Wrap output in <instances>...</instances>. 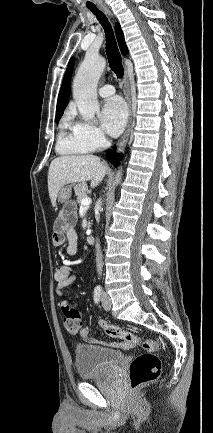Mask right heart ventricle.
Returning a JSON list of instances; mask_svg holds the SVG:
<instances>
[{"label": "right heart ventricle", "instance_id": "1", "mask_svg": "<svg viewBox=\"0 0 213 433\" xmlns=\"http://www.w3.org/2000/svg\"><path fill=\"white\" fill-rule=\"evenodd\" d=\"M56 149L60 154H87L93 148L77 133L75 126L66 119L59 133Z\"/></svg>", "mask_w": 213, "mask_h": 433}]
</instances>
